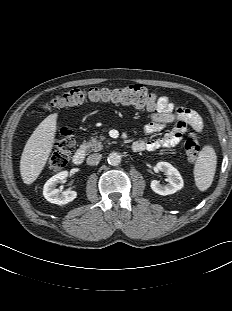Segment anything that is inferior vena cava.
<instances>
[{
	"label": "inferior vena cava",
	"instance_id": "602c4592",
	"mask_svg": "<svg viewBox=\"0 0 232 311\" xmlns=\"http://www.w3.org/2000/svg\"><path fill=\"white\" fill-rule=\"evenodd\" d=\"M102 155L99 153H94L88 156L87 158V164L88 165H97L99 161L101 160Z\"/></svg>",
	"mask_w": 232,
	"mask_h": 311
}]
</instances>
